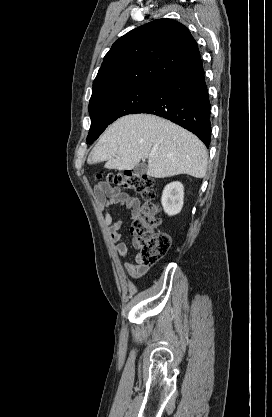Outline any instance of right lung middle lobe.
<instances>
[{"label":"right lung middle lobe","mask_w":272,"mask_h":417,"mask_svg":"<svg viewBox=\"0 0 272 417\" xmlns=\"http://www.w3.org/2000/svg\"><path fill=\"white\" fill-rule=\"evenodd\" d=\"M160 85H141L116 91L89 103L91 127L87 143L91 144L113 121L132 114L148 101Z\"/></svg>","instance_id":"right-lung-middle-lobe-1"}]
</instances>
